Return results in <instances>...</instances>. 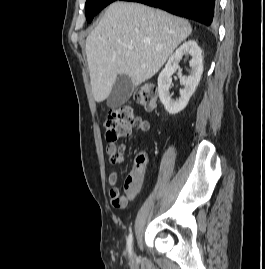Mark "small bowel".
I'll return each instance as SVG.
<instances>
[{"label": "small bowel", "instance_id": "obj_1", "mask_svg": "<svg viewBox=\"0 0 265 269\" xmlns=\"http://www.w3.org/2000/svg\"><path fill=\"white\" fill-rule=\"evenodd\" d=\"M146 126L141 131L149 130V123L145 120ZM106 152L110 158V163L112 166L119 165L124 161V147L118 146L116 143H108L106 146ZM138 157H143V163L140 167H135L126 177L124 181V195L120 193V190L115 186L117 181V175L111 173L109 176V183L111 187L109 189V198L111 205L118 209H124L128 204L134 200V198L139 194L143 180H144V171L143 164L145 157L139 155Z\"/></svg>", "mask_w": 265, "mask_h": 269}]
</instances>
